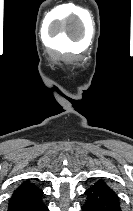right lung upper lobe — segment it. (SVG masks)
Listing matches in <instances>:
<instances>
[{
  "instance_id": "1",
  "label": "right lung upper lobe",
  "mask_w": 133,
  "mask_h": 211,
  "mask_svg": "<svg viewBox=\"0 0 133 211\" xmlns=\"http://www.w3.org/2000/svg\"><path fill=\"white\" fill-rule=\"evenodd\" d=\"M42 195V190L27 180L14 190L9 199L8 209L11 211L12 209L35 203L42 198Z\"/></svg>"
}]
</instances>
